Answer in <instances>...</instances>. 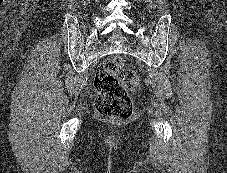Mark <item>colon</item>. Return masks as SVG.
Returning a JSON list of instances; mask_svg holds the SVG:
<instances>
[{
    "label": "colon",
    "mask_w": 227,
    "mask_h": 173,
    "mask_svg": "<svg viewBox=\"0 0 227 173\" xmlns=\"http://www.w3.org/2000/svg\"><path fill=\"white\" fill-rule=\"evenodd\" d=\"M140 84L136 71L124 66L121 58L104 60L94 79L97 91L96 111L105 118L128 119L133 114L129 91Z\"/></svg>",
    "instance_id": "colon-1"
}]
</instances>
